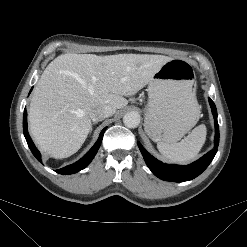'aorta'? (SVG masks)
Listing matches in <instances>:
<instances>
[{
  "mask_svg": "<svg viewBox=\"0 0 247 247\" xmlns=\"http://www.w3.org/2000/svg\"><path fill=\"white\" fill-rule=\"evenodd\" d=\"M123 123L128 128H136L140 123V115L134 111L128 112L123 117Z\"/></svg>",
  "mask_w": 247,
  "mask_h": 247,
  "instance_id": "762f6f07",
  "label": "aorta"
}]
</instances>
